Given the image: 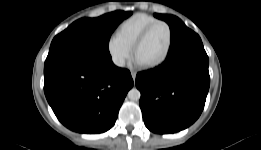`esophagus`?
<instances>
[{"label":"esophagus","instance_id":"esophagus-1","mask_svg":"<svg viewBox=\"0 0 261 150\" xmlns=\"http://www.w3.org/2000/svg\"><path fill=\"white\" fill-rule=\"evenodd\" d=\"M136 72L135 71H132L131 72V76H132V79L135 81V79H136Z\"/></svg>","mask_w":261,"mask_h":150}]
</instances>
